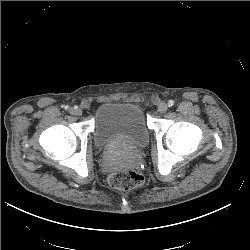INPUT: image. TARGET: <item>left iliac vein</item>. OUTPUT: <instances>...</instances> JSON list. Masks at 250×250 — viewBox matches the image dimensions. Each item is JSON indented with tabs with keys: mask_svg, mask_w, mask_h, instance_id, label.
Wrapping results in <instances>:
<instances>
[{
	"mask_svg": "<svg viewBox=\"0 0 250 250\" xmlns=\"http://www.w3.org/2000/svg\"><path fill=\"white\" fill-rule=\"evenodd\" d=\"M167 110H168V105L166 103L162 102L158 105V111L160 113H165Z\"/></svg>",
	"mask_w": 250,
	"mask_h": 250,
	"instance_id": "obj_1",
	"label": "left iliac vein"
}]
</instances>
